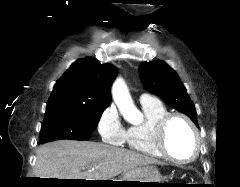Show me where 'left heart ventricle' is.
<instances>
[{
	"mask_svg": "<svg viewBox=\"0 0 240 187\" xmlns=\"http://www.w3.org/2000/svg\"><path fill=\"white\" fill-rule=\"evenodd\" d=\"M166 145L170 153L180 160L192 156L194 138L190 128L184 121L175 119L170 123L167 130Z\"/></svg>",
	"mask_w": 240,
	"mask_h": 187,
	"instance_id": "1",
	"label": "left heart ventricle"
}]
</instances>
